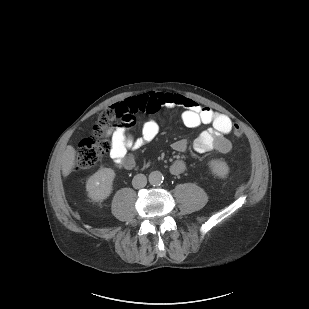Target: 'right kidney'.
<instances>
[{
	"label": "right kidney",
	"mask_w": 309,
	"mask_h": 309,
	"mask_svg": "<svg viewBox=\"0 0 309 309\" xmlns=\"http://www.w3.org/2000/svg\"><path fill=\"white\" fill-rule=\"evenodd\" d=\"M115 173L111 168H102L93 174L86 183L88 196L94 201H102L112 192Z\"/></svg>",
	"instance_id": "obj_1"
}]
</instances>
